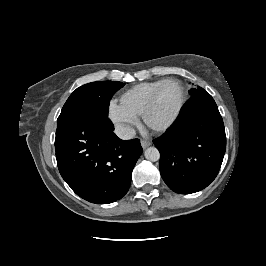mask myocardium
Returning <instances> with one entry per match:
<instances>
[{"label": "myocardium", "instance_id": "f54148a6", "mask_svg": "<svg viewBox=\"0 0 266 266\" xmlns=\"http://www.w3.org/2000/svg\"><path fill=\"white\" fill-rule=\"evenodd\" d=\"M168 83H177L180 87L181 90V99L179 102V105L177 107V110L175 111V113L173 114V116L163 125L160 126H155L150 122V113L154 108L156 99L158 97V94L160 92V90L163 88L164 85L168 84ZM187 100V91L186 88L184 86V84L177 78H167L165 79L152 93L144 111L142 114V118L144 123L152 130L155 132H165L168 129H170L175 122L178 120L179 116L181 115L183 108L185 106Z\"/></svg>", "mask_w": 266, "mask_h": 266}]
</instances>
